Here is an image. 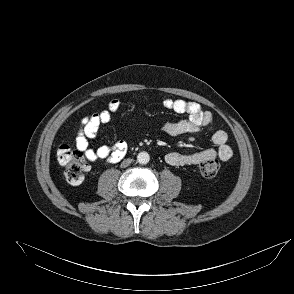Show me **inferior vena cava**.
<instances>
[{"label": "inferior vena cava", "instance_id": "obj_1", "mask_svg": "<svg viewBox=\"0 0 294 294\" xmlns=\"http://www.w3.org/2000/svg\"><path fill=\"white\" fill-rule=\"evenodd\" d=\"M132 162V159H126L121 163V167H127Z\"/></svg>", "mask_w": 294, "mask_h": 294}]
</instances>
